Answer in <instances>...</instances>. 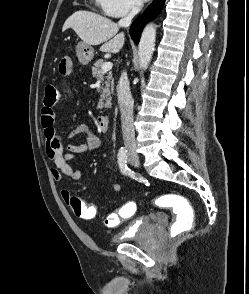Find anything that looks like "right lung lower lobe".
<instances>
[{"instance_id":"98d812e1","label":"right lung lower lobe","mask_w":249,"mask_h":294,"mask_svg":"<svg viewBox=\"0 0 249 294\" xmlns=\"http://www.w3.org/2000/svg\"><path fill=\"white\" fill-rule=\"evenodd\" d=\"M164 3L165 0H153L152 4L146 9V11L134 20L130 28V35L135 43L138 44L144 25L160 14Z\"/></svg>"}]
</instances>
